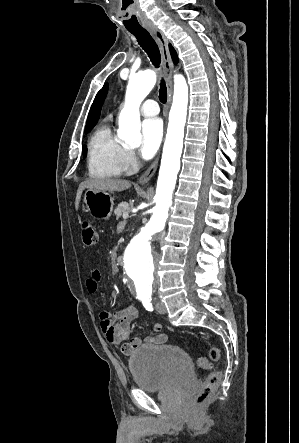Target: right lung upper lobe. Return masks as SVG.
I'll list each match as a JSON object with an SVG mask.
<instances>
[{
	"instance_id": "1",
	"label": "right lung upper lobe",
	"mask_w": 299,
	"mask_h": 443,
	"mask_svg": "<svg viewBox=\"0 0 299 443\" xmlns=\"http://www.w3.org/2000/svg\"><path fill=\"white\" fill-rule=\"evenodd\" d=\"M169 48H170V52H171L174 62H177L178 59H177V55H176L175 50L173 49V47L171 45L169 46ZM107 89H108V86L106 84L96 95L94 102L91 106L89 115H88L86 126L93 125V124L97 123L99 116H100L101 106L103 104L105 95L107 93Z\"/></svg>"
}]
</instances>
